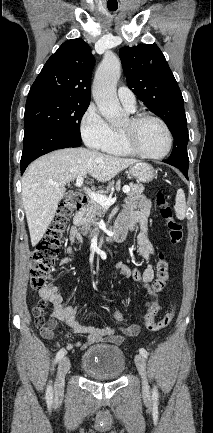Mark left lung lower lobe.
<instances>
[{
    "label": "left lung lower lobe",
    "mask_w": 213,
    "mask_h": 433,
    "mask_svg": "<svg viewBox=\"0 0 213 433\" xmlns=\"http://www.w3.org/2000/svg\"><path fill=\"white\" fill-rule=\"evenodd\" d=\"M164 162H166V163H168V164H170V165L178 168L185 175V177L188 179V165H183V164H180V163H175V162H172L170 160H165Z\"/></svg>",
    "instance_id": "0a47b994"
}]
</instances>
